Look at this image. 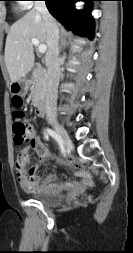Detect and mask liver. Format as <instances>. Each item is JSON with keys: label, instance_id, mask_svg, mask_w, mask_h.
Masks as SVG:
<instances>
[{"label": "liver", "instance_id": "6515ba94", "mask_svg": "<svg viewBox=\"0 0 133 253\" xmlns=\"http://www.w3.org/2000/svg\"><path fill=\"white\" fill-rule=\"evenodd\" d=\"M32 38L38 39L41 44H47L45 22L35 9L14 23L6 38L5 64L12 83L33 68L35 57Z\"/></svg>", "mask_w": 133, "mask_h": 253}]
</instances>
